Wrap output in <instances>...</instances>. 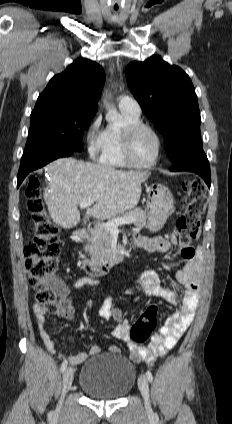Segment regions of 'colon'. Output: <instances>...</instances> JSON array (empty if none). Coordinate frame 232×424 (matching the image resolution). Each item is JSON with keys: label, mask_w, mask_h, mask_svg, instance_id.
Returning <instances> with one entry per match:
<instances>
[{"label": "colon", "mask_w": 232, "mask_h": 424, "mask_svg": "<svg viewBox=\"0 0 232 424\" xmlns=\"http://www.w3.org/2000/svg\"><path fill=\"white\" fill-rule=\"evenodd\" d=\"M183 188V203L186 208L177 220L176 231L179 254L181 258L189 260L194 256L192 241L197 237L201 216L206 210L207 197L206 188L198 179L185 181ZM25 194L35 230L33 240L24 248L29 282L36 293L37 303L53 314L62 315L65 310L58 301L59 280L55 277L59 230L47 214L38 178L29 179ZM158 312V306L153 304L141 314L130 329L132 342L143 343L150 337L157 326Z\"/></svg>", "instance_id": "colon-1"}]
</instances>
